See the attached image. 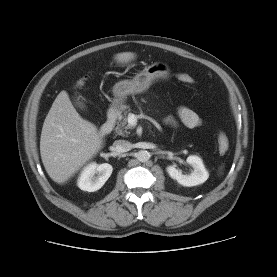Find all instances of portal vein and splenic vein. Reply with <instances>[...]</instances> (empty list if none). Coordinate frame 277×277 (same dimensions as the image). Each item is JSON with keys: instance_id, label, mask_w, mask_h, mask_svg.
I'll return each instance as SVG.
<instances>
[{"instance_id": "portal-vein-and-splenic-vein-1", "label": "portal vein and splenic vein", "mask_w": 277, "mask_h": 277, "mask_svg": "<svg viewBox=\"0 0 277 277\" xmlns=\"http://www.w3.org/2000/svg\"><path fill=\"white\" fill-rule=\"evenodd\" d=\"M137 116L135 114H130L128 117V123L131 127H135L137 125Z\"/></svg>"}]
</instances>
